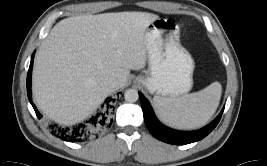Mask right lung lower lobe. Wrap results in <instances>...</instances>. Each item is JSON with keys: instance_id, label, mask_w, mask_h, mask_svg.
Wrapping results in <instances>:
<instances>
[{"instance_id": "1", "label": "right lung lower lobe", "mask_w": 267, "mask_h": 166, "mask_svg": "<svg viewBox=\"0 0 267 166\" xmlns=\"http://www.w3.org/2000/svg\"><path fill=\"white\" fill-rule=\"evenodd\" d=\"M33 59H34V54L32 55L27 75V94L29 101L36 112V115L40 119L42 115L38 112L35 105L32 103V97H31V72L33 67ZM114 101L115 100L112 99L111 97L107 98L103 103V105L101 106V109L98 111V113L83 123L77 124L72 127H60L54 124L49 127L50 131L53 135L64 141L68 142L86 141L89 138H92L94 135H96L101 129L111 125V120H112L111 116L115 108Z\"/></svg>"}]
</instances>
